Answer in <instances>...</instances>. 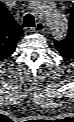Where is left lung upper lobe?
<instances>
[{
    "label": "left lung upper lobe",
    "mask_w": 74,
    "mask_h": 122,
    "mask_svg": "<svg viewBox=\"0 0 74 122\" xmlns=\"http://www.w3.org/2000/svg\"><path fill=\"white\" fill-rule=\"evenodd\" d=\"M54 43L62 57L74 59V6L71 8L69 29L66 38L63 41H55Z\"/></svg>",
    "instance_id": "1"
}]
</instances>
